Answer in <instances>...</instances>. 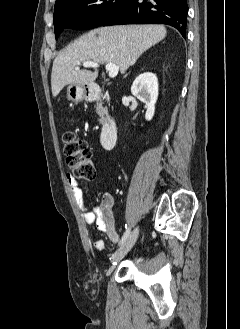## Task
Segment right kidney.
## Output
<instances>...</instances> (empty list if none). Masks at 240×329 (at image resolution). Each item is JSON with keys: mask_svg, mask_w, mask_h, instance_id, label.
<instances>
[{"mask_svg": "<svg viewBox=\"0 0 240 329\" xmlns=\"http://www.w3.org/2000/svg\"><path fill=\"white\" fill-rule=\"evenodd\" d=\"M131 93L147 106L145 119L150 121L155 112L158 97V80L155 74L146 72L139 75L132 84Z\"/></svg>", "mask_w": 240, "mask_h": 329, "instance_id": "obj_1", "label": "right kidney"}]
</instances>
